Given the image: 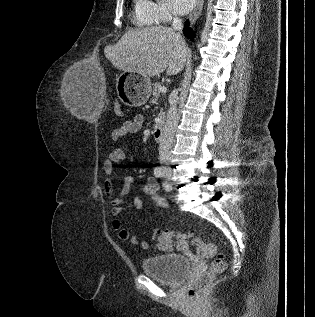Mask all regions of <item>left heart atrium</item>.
I'll return each instance as SVG.
<instances>
[{
    "label": "left heart atrium",
    "mask_w": 315,
    "mask_h": 317,
    "mask_svg": "<svg viewBox=\"0 0 315 317\" xmlns=\"http://www.w3.org/2000/svg\"><path fill=\"white\" fill-rule=\"evenodd\" d=\"M171 9L177 14H186L194 7L196 0H169Z\"/></svg>",
    "instance_id": "39dd6f15"
}]
</instances>
